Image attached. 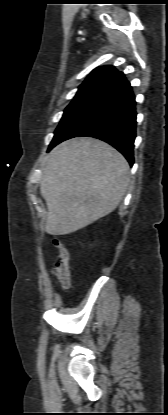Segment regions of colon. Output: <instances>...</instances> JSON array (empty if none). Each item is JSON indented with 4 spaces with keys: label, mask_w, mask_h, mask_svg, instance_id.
Listing matches in <instances>:
<instances>
[{
    "label": "colon",
    "mask_w": 168,
    "mask_h": 415,
    "mask_svg": "<svg viewBox=\"0 0 168 415\" xmlns=\"http://www.w3.org/2000/svg\"><path fill=\"white\" fill-rule=\"evenodd\" d=\"M53 243L58 251V259L53 270L61 288L67 289L70 284V268L68 252L59 238H54Z\"/></svg>",
    "instance_id": "colon-1"
}]
</instances>
